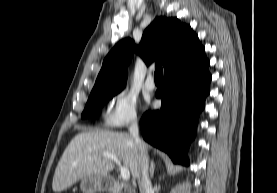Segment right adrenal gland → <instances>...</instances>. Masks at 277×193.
Instances as JSON below:
<instances>
[{
    "mask_svg": "<svg viewBox=\"0 0 277 193\" xmlns=\"http://www.w3.org/2000/svg\"><path fill=\"white\" fill-rule=\"evenodd\" d=\"M154 171H155V163L153 160H151V163H150V177L153 178L154 176Z\"/></svg>",
    "mask_w": 277,
    "mask_h": 193,
    "instance_id": "1",
    "label": "right adrenal gland"
}]
</instances>
